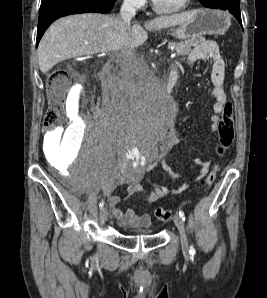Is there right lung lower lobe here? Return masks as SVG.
<instances>
[{
    "instance_id": "1",
    "label": "right lung lower lobe",
    "mask_w": 267,
    "mask_h": 298,
    "mask_svg": "<svg viewBox=\"0 0 267 298\" xmlns=\"http://www.w3.org/2000/svg\"><path fill=\"white\" fill-rule=\"evenodd\" d=\"M115 2L116 0H42L36 45L54 20L77 13H108Z\"/></svg>"
}]
</instances>
